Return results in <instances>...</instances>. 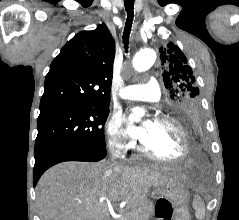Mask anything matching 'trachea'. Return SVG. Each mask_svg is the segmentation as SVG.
<instances>
[{"label": "trachea", "instance_id": "3493384b", "mask_svg": "<svg viewBox=\"0 0 239 220\" xmlns=\"http://www.w3.org/2000/svg\"><path fill=\"white\" fill-rule=\"evenodd\" d=\"M124 6L125 10L127 12V19H126V25L124 28V33H123V43L124 47L127 49L128 48V39H129V34L131 31V26L134 18V0H124Z\"/></svg>", "mask_w": 239, "mask_h": 220}]
</instances>
